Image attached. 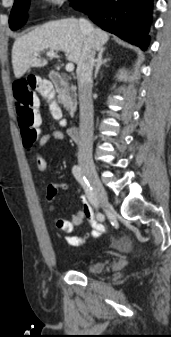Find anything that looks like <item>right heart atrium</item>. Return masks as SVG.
<instances>
[{
  "label": "right heart atrium",
  "instance_id": "d8ad5b80",
  "mask_svg": "<svg viewBox=\"0 0 171 337\" xmlns=\"http://www.w3.org/2000/svg\"><path fill=\"white\" fill-rule=\"evenodd\" d=\"M45 1L51 5H58L63 2V0H45Z\"/></svg>",
  "mask_w": 171,
  "mask_h": 337
}]
</instances>
